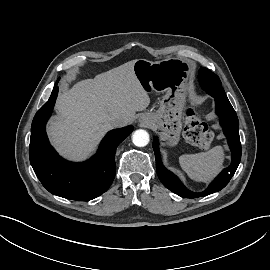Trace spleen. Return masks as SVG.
I'll return each instance as SVG.
<instances>
[{
	"label": "spleen",
	"mask_w": 270,
	"mask_h": 270,
	"mask_svg": "<svg viewBox=\"0 0 270 270\" xmlns=\"http://www.w3.org/2000/svg\"><path fill=\"white\" fill-rule=\"evenodd\" d=\"M224 152L221 146H216L207 152L184 154L179 157L181 168L187 175L199 182H209L222 168Z\"/></svg>",
	"instance_id": "obj_1"
}]
</instances>
